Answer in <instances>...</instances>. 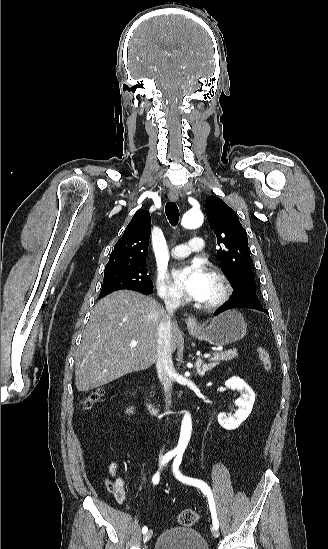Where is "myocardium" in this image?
Here are the masks:
<instances>
[{
	"label": "myocardium",
	"mask_w": 328,
	"mask_h": 549,
	"mask_svg": "<svg viewBox=\"0 0 328 549\" xmlns=\"http://www.w3.org/2000/svg\"><path fill=\"white\" fill-rule=\"evenodd\" d=\"M202 265L211 267L210 275L213 276L220 284V292L218 296L210 301L202 302L200 301V307L206 311H217L219 310L229 299L232 291V287L229 279L220 271V266L215 262L205 260L199 262Z\"/></svg>",
	"instance_id": "myocardium-1"
}]
</instances>
